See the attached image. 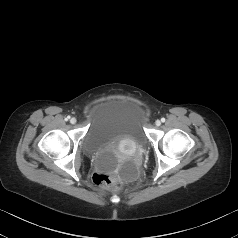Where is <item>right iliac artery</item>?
<instances>
[{"label":"right iliac artery","mask_w":238,"mask_h":238,"mask_svg":"<svg viewBox=\"0 0 238 238\" xmlns=\"http://www.w3.org/2000/svg\"><path fill=\"white\" fill-rule=\"evenodd\" d=\"M69 119H70V116H67V117H66V120H69Z\"/></svg>","instance_id":"82829eb1"}]
</instances>
